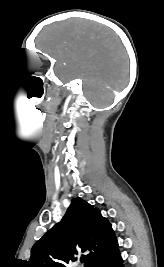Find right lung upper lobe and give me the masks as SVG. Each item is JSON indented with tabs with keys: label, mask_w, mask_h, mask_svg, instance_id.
<instances>
[{
	"label": "right lung upper lobe",
	"mask_w": 164,
	"mask_h": 267,
	"mask_svg": "<svg viewBox=\"0 0 164 267\" xmlns=\"http://www.w3.org/2000/svg\"><path fill=\"white\" fill-rule=\"evenodd\" d=\"M118 248L111 224L97 208L72 199L60 223L54 225L31 250L29 267H66L79 251L87 252L86 267L102 255Z\"/></svg>",
	"instance_id": "obj_1"
}]
</instances>
